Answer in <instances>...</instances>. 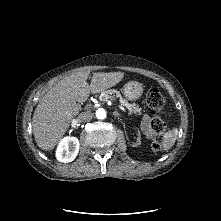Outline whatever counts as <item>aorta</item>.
I'll return each instance as SVG.
<instances>
[{
	"label": "aorta",
	"mask_w": 221,
	"mask_h": 221,
	"mask_svg": "<svg viewBox=\"0 0 221 221\" xmlns=\"http://www.w3.org/2000/svg\"><path fill=\"white\" fill-rule=\"evenodd\" d=\"M96 117L98 119H105L106 118V111L103 108H99L96 111Z\"/></svg>",
	"instance_id": "1"
}]
</instances>
